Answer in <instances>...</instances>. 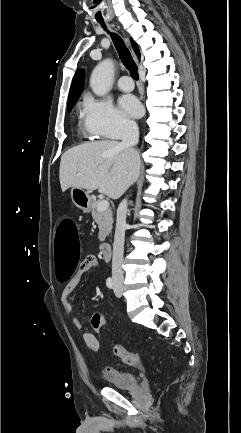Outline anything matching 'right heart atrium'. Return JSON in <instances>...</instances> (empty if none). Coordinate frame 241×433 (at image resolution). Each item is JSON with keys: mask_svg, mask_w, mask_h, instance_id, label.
Returning a JSON list of instances; mask_svg holds the SVG:
<instances>
[{"mask_svg": "<svg viewBox=\"0 0 241 433\" xmlns=\"http://www.w3.org/2000/svg\"><path fill=\"white\" fill-rule=\"evenodd\" d=\"M83 124L92 137L117 138L132 133L135 123L120 113L108 99L86 96L82 104Z\"/></svg>", "mask_w": 241, "mask_h": 433, "instance_id": "obj_1", "label": "right heart atrium"}]
</instances>
